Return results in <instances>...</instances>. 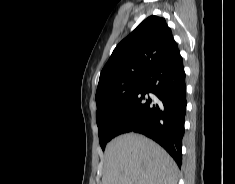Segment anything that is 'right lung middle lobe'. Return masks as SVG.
Here are the masks:
<instances>
[{"instance_id": "1", "label": "right lung middle lobe", "mask_w": 235, "mask_h": 184, "mask_svg": "<svg viewBox=\"0 0 235 184\" xmlns=\"http://www.w3.org/2000/svg\"><path fill=\"white\" fill-rule=\"evenodd\" d=\"M142 79L109 89L104 102L97 106L96 121L102 150L116 136L114 128L134 94L141 88Z\"/></svg>"}]
</instances>
